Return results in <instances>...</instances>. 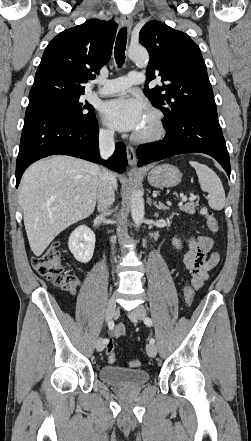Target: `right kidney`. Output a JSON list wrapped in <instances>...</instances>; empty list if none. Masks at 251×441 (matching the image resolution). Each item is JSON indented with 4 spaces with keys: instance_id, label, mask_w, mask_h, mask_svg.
<instances>
[{
    "instance_id": "obj_1",
    "label": "right kidney",
    "mask_w": 251,
    "mask_h": 441,
    "mask_svg": "<svg viewBox=\"0 0 251 441\" xmlns=\"http://www.w3.org/2000/svg\"><path fill=\"white\" fill-rule=\"evenodd\" d=\"M68 247L77 261L89 262L95 248L94 232L86 225L77 227L69 237Z\"/></svg>"
}]
</instances>
